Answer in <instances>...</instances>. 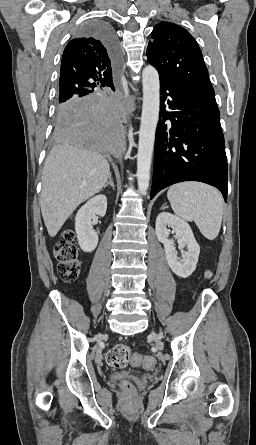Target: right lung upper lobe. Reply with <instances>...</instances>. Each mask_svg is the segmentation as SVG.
Listing matches in <instances>:
<instances>
[{
    "label": "right lung upper lobe",
    "mask_w": 256,
    "mask_h": 445,
    "mask_svg": "<svg viewBox=\"0 0 256 445\" xmlns=\"http://www.w3.org/2000/svg\"><path fill=\"white\" fill-rule=\"evenodd\" d=\"M116 67L106 45L98 37L87 31L80 32L63 52L58 102L94 93L98 87L113 88Z\"/></svg>",
    "instance_id": "obj_1"
}]
</instances>
